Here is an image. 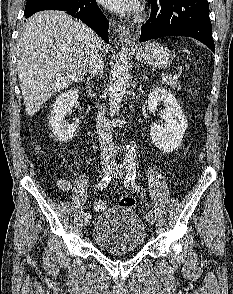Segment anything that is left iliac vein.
Listing matches in <instances>:
<instances>
[{
	"label": "left iliac vein",
	"mask_w": 233,
	"mask_h": 294,
	"mask_svg": "<svg viewBox=\"0 0 233 294\" xmlns=\"http://www.w3.org/2000/svg\"><path fill=\"white\" fill-rule=\"evenodd\" d=\"M114 173V176L116 178H119L121 175H122V172L118 171V168L116 167V171H113ZM146 220L149 224H153L154 223V219H153V216L150 215V214H147L146 215Z\"/></svg>",
	"instance_id": "4c4485c4"
}]
</instances>
